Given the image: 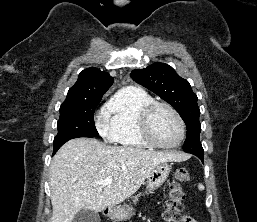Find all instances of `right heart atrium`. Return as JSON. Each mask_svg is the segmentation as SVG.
<instances>
[{
    "label": "right heart atrium",
    "mask_w": 257,
    "mask_h": 222,
    "mask_svg": "<svg viewBox=\"0 0 257 222\" xmlns=\"http://www.w3.org/2000/svg\"><path fill=\"white\" fill-rule=\"evenodd\" d=\"M98 128H99L100 133L105 135L109 139L107 126L105 125V123H103V122L100 123Z\"/></svg>",
    "instance_id": "d8ad5b80"
}]
</instances>
